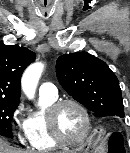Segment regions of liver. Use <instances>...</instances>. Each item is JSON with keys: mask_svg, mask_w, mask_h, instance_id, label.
I'll use <instances>...</instances> for the list:
<instances>
[{"mask_svg": "<svg viewBox=\"0 0 130 153\" xmlns=\"http://www.w3.org/2000/svg\"><path fill=\"white\" fill-rule=\"evenodd\" d=\"M0 153H29V152L11 147L0 137Z\"/></svg>", "mask_w": 130, "mask_h": 153, "instance_id": "1", "label": "liver"}]
</instances>
